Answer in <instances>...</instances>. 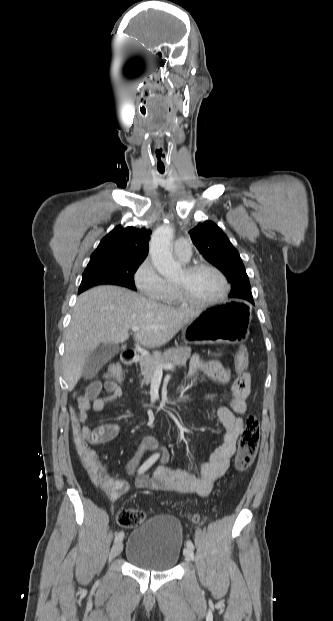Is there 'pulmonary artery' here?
I'll return each mask as SVG.
<instances>
[{
    "instance_id": "pulmonary-artery-1",
    "label": "pulmonary artery",
    "mask_w": 333,
    "mask_h": 621,
    "mask_svg": "<svg viewBox=\"0 0 333 621\" xmlns=\"http://www.w3.org/2000/svg\"><path fill=\"white\" fill-rule=\"evenodd\" d=\"M173 250L175 256L183 262H187L191 258V243L188 239L176 240Z\"/></svg>"
}]
</instances>
